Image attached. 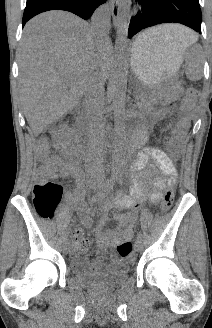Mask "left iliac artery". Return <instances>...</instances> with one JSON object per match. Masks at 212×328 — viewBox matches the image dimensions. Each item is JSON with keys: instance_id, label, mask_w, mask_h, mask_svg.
I'll return each instance as SVG.
<instances>
[{"instance_id": "left-iliac-artery-1", "label": "left iliac artery", "mask_w": 212, "mask_h": 328, "mask_svg": "<svg viewBox=\"0 0 212 328\" xmlns=\"http://www.w3.org/2000/svg\"><path fill=\"white\" fill-rule=\"evenodd\" d=\"M137 239H139V240H142L143 239V235H142L141 232H138L137 233Z\"/></svg>"}]
</instances>
